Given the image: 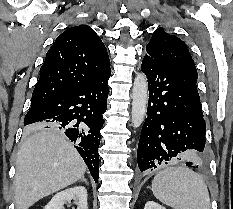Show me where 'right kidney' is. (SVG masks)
<instances>
[{
	"label": "right kidney",
	"mask_w": 233,
	"mask_h": 209,
	"mask_svg": "<svg viewBox=\"0 0 233 209\" xmlns=\"http://www.w3.org/2000/svg\"><path fill=\"white\" fill-rule=\"evenodd\" d=\"M87 190L84 186H74L57 193L44 209H64L65 202L74 200L77 209H88Z\"/></svg>",
	"instance_id": "1"
}]
</instances>
